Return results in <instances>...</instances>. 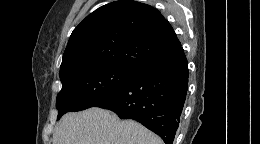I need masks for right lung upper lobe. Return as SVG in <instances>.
<instances>
[{
	"label": "right lung upper lobe",
	"mask_w": 260,
	"mask_h": 144,
	"mask_svg": "<svg viewBox=\"0 0 260 144\" xmlns=\"http://www.w3.org/2000/svg\"><path fill=\"white\" fill-rule=\"evenodd\" d=\"M180 46L157 9L131 0L116 1L95 10L73 30L59 75L103 64L135 68Z\"/></svg>",
	"instance_id": "right-lung-upper-lobe-1"
}]
</instances>
